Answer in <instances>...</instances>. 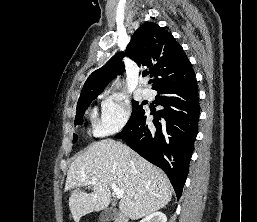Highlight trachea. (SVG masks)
<instances>
[{
	"mask_svg": "<svg viewBox=\"0 0 257 222\" xmlns=\"http://www.w3.org/2000/svg\"><path fill=\"white\" fill-rule=\"evenodd\" d=\"M151 82H153V80H152V79H150V80H149V83H151Z\"/></svg>",
	"mask_w": 257,
	"mask_h": 222,
	"instance_id": "3493384b",
	"label": "trachea"
}]
</instances>
